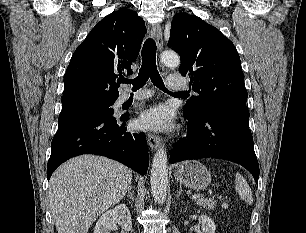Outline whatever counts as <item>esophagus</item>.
<instances>
[{
    "mask_svg": "<svg viewBox=\"0 0 306 233\" xmlns=\"http://www.w3.org/2000/svg\"><path fill=\"white\" fill-rule=\"evenodd\" d=\"M152 37L156 41L158 50L161 51L163 47V39H162V31H161L160 24L155 23L152 25ZM148 143H149L151 150H157L161 143L160 137L149 133Z\"/></svg>",
    "mask_w": 306,
    "mask_h": 233,
    "instance_id": "obj_1",
    "label": "esophagus"
}]
</instances>
